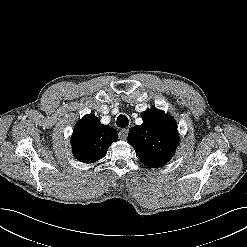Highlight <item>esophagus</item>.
<instances>
[{
  "label": "esophagus",
  "instance_id": "34e87169",
  "mask_svg": "<svg viewBox=\"0 0 247 247\" xmlns=\"http://www.w3.org/2000/svg\"><path fill=\"white\" fill-rule=\"evenodd\" d=\"M128 131H129V129H121L120 131H119V138L121 139V140H126V138H127V135H128Z\"/></svg>",
  "mask_w": 247,
  "mask_h": 247
}]
</instances>
